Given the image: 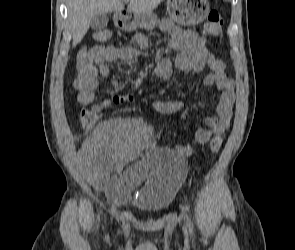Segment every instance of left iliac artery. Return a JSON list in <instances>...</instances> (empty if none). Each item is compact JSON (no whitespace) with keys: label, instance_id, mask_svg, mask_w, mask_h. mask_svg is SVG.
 <instances>
[{"label":"left iliac artery","instance_id":"left-iliac-artery-1","mask_svg":"<svg viewBox=\"0 0 295 250\" xmlns=\"http://www.w3.org/2000/svg\"><path fill=\"white\" fill-rule=\"evenodd\" d=\"M186 223H187V226L189 228V233L192 235V232H193V226H192V222H191V219L186 216Z\"/></svg>","mask_w":295,"mask_h":250}]
</instances>
